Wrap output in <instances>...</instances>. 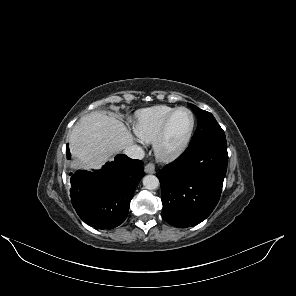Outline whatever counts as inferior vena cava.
Segmentation results:
<instances>
[{
	"instance_id": "1",
	"label": "inferior vena cava",
	"mask_w": 296,
	"mask_h": 296,
	"mask_svg": "<svg viewBox=\"0 0 296 296\" xmlns=\"http://www.w3.org/2000/svg\"><path fill=\"white\" fill-rule=\"evenodd\" d=\"M124 153L132 159H143L145 156L144 150L137 145L126 147Z\"/></svg>"
}]
</instances>
